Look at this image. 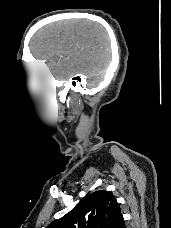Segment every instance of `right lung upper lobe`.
<instances>
[{
	"instance_id": "cb5924a9",
	"label": "right lung upper lobe",
	"mask_w": 171,
	"mask_h": 228,
	"mask_svg": "<svg viewBox=\"0 0 171 228\" xmlns=\"http://www.w3.org/2000/svg\"><path fill=\"white\" fill-rule=\"evenodd\" d=\"M47 228H125L116 199L107 191H96Z\"/></svg>"
}]
</instances>
